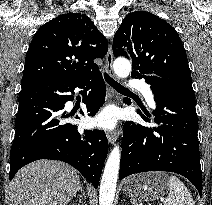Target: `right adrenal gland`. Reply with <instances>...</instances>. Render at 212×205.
<instances>
[{
  "instance_id": "right-adrenal-gland-1",
  "label": "right adrenal gland",
  "mask_w": 212,
  "mask_h": 205,
  "mask_svg": "<svg viewBox=\"0 0 212 205\" xmlns=\"http://www.w3.org/2000/svg\"><path fill=\"white\" fill-rule=\"evenodd\" d=\"M78 191H80L81 194H82V196L85 197V193H84V191H83V188H82L81 185H80V180H78V182H77V188H76V190H75L74 197L76 196V194H77Z\"/></svg>"
}]
</instances>
